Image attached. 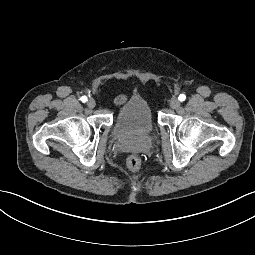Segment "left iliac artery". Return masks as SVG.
<instances>
[{
  "instance_id": "1",
  "label": "left iliac artery",
  "mask_w": 255,
  "mask_h": 255,
  "mask_svg": "<svg viewBox=\"0 0 255 255\" xmlns=\"http://www.w3.org/2000/svg\"><path fill=\"white\" fill-rule=\"evenodd\" d=\"M178 99L180 101H184L186 99V96L184 94L179 95Z\"/></svg>"
}]
</instances>
